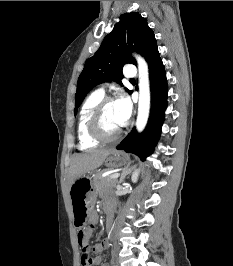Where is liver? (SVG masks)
Segmentation results:
<instances>
[{
	"label": "liver",
	"mask_w": 233,
	"mask_h": 266,
	"mask_svg": "<svg viewBox=\"0 0 233 266\" xmlns=\"http://www.w3.org/2000/svg\"><path fill=\"white\" fill-rule=\"evenodd\" d=\"M111 152V149H93L75 154L71 160L68 174L69 186L71 187L84 174L100 167Z\"/></svg>",
	"instance_id": "obj_1"
}]
</instances>
